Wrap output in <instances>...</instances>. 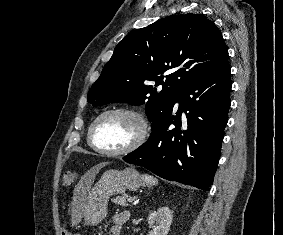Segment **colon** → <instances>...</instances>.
I'll use <instances>...</instances> for the list:
<instances>
[{"label":"colon","instance_id":"obj_1","mask_svg":"<svg viewBox=\"0 0 283 235\" xmlns=\"http://www.w3.org/2000/svg\"><path fill=\"white\" fill-rule=\"evenodd\" d=\"M76 178V173L73 170H67L65 171V173L63 174V184L65 186H69L71 185L74 180Z\"/></svg>","mask_w":283,"mask_h":235}]
</instances>
